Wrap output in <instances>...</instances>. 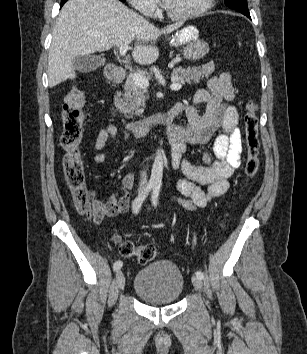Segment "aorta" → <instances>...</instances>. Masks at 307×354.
<instances>
[{
  "label": "aorta",
  "mask_w": 307,
  "mask_h": 354,
  "mask_svg": "<svg viewBox=\"0 0 307 354\" xmlns=\"http://www.w3.org/2000/svg\"><path fill=\"white\" fill-rule=\"evenodd\" d=\"M163 176V150L158 149L153 162L150 184L160 186Z\"/></svg>",
  "instance_id": "obj_1"
}]
</instances>
